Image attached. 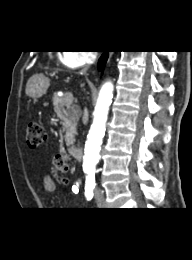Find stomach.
<instances>
[{"label":"stomach","instance_id":"obj_1","mask_svg":"<svg viewBox=\"0 0 192 260\" xmlns=\"http://www.w3.org/2000/svg\"><path fill=\"white\" fill-rule=\"evenodd\" d=\"M49 85V79L43 75H35L28 81L27 95L32 98H39L46 93Z\"/></svg>","mask_w":192,"mask_h":260}]
</instances>
